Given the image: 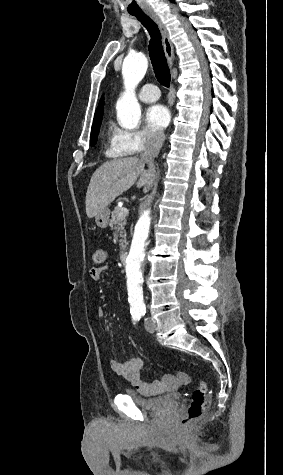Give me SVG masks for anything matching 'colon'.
<instances>
[{
    "instance_id": "5ec220e1",
    "label": "colon",
    "mask_w": 283,
    "mask_h": 475,
    "mask_svg": "<svg viewBox=\"0 0 283 475\" xmlns=\"http://www.w3.org/2000/svg\"><path fill=\"white\" fill-rule=\"evenodd\" d=\"M91 255L93 263L97 265H102L107 259L106 251L100 247H94ZM208 404V384L206 381L201 380L192 392L186 414L182 419L183 424L202 418Z\"/></svg>"
}]
</instances>
